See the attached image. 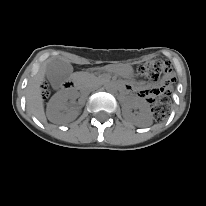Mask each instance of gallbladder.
<instances>
[{
    "instance_id": "gallbladder-1",
    "label": "gallbladder",
    "mask_w": 206,
    "mask_h": 206,
    "mask_svg": "<svg viewBox=\"0 0 206 206\" xmlns=\"http://www.w3.org/2000/svg\"><path fill=\"white\" fill-rule=\"evenodd\" d=\"M73 73L70 63L56 59L47 65V78L53 87H60Z\"/></svg>"
}]
</instances>
